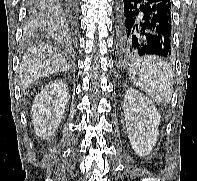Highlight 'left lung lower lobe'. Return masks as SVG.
I'll use <instances>...</instances> for the list:
<instances>
[{
	"label": "left lung lower lobe",
	"mask_w": 197,
	"mask_h": 181,
	"mask_svg": "<svg viewBox=\"0 0 197 181\" xmlns=\"http://www.w3.org/2000/svg\"><path fill=\"white\" fill-rule=\"evenodd\" d=\"M171 0H120L116 50L121 58L170 56Z\"/></svg>",
	"instance_id": "0a47b994"
}]
</instances>
